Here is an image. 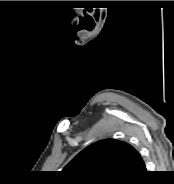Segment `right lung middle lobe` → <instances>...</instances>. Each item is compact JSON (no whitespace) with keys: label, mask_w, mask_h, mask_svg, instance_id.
Segmentation results:
<instances>
[{"label":"right lung middle lobe","mask_w":174,"mask_h":184,"mask_svg":"<svg viewBox=\"0 0 174 184\" xmlns=\"http://www.w3.org/2000/svg\"><path fill=\"white\" fill-rule=\"evenodd\" d=\"M123 183V182H122ZM86 184H109V183H102V182H87ZM117 184V183H116ZM121 184V183H118Z\"/></svg>","instance_id":"dd1d6c3e"}]
</instances>
